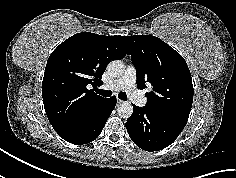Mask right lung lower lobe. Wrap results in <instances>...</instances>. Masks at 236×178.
Instances as JSON below:
<instances>
[{"instance_id": "98d812e1", "label": "right lung lower lobe", "mask_w": 236, "mask_h": 178, "mask_svg": "<svg viewBox=\"0 0 236 178\" xmlns=\"http://www.w3.org/2000/svg\"><path fill=\"white\" fill-rule=\"evenodd\" d=\"M116 98H107L90 116L78 124L56 131L61 138L72 144H87L95 140L115 108Z\"/></svg>"}]
</instances>
